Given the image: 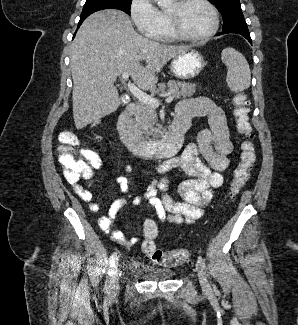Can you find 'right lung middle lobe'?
Instances as JSON below:
<instances>
[{"label":"right lung middle lobe","instance_id":"right-lung-middle-lobe-1","mask_svg":"<svg viewBox=\"0 0 298 325\" xmlns=\"http://www.w3.org/2000/svg\"><path fill=\"white\" fill-rule=\"evenodd\" d=\"M132 0H86L80 20H84L90 14L103 9H119L130 15Z\"/></svg>","mask_w":298,"mask_h":325}]
</instances>
